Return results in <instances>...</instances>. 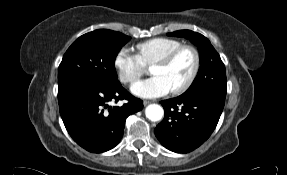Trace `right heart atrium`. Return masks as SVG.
I'll use <instances>...</instances> for the list:
<instances>
[{
	"instance_id": "d8ad5b80",
	"label": "right heart atrium",
	"mask_w": 287,
	"mask_h": 175,
	"mask_svg": "<svg viewBox=\"0 0 287 175\" xmlns=\"http://www.w3.org/2000/svg\"><path fill=\"white\" fill-rule=\"evenodd\" d=\"M114 65L120 81L125 84H133L146 71V65L140 56L126 47L117 52Z\"/></svg>"
}]
</instances>
